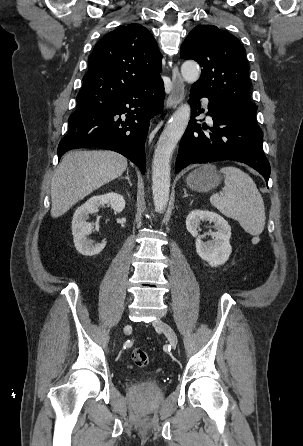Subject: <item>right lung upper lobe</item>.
I'll use <instances>...</instances> for the list:
<instances>
[{"label": "right lung upper lobe", "instance_id": "1", "mask_svg": "<svg viewBox=\"0 0 303 446\" xmlns=\"http://www.w3.org/2000/svg\"><path fill=\"white\" fill-rule=\"evenodd\" d=\"M161 59L154 37L142 25L115 29L96 43L77 98L88 105L160 82Z\"/></svg>", "mask_w": 303, "mask_h": 446}]
</instances>
